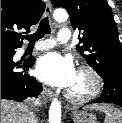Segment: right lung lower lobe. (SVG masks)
<instances>
[{
	"label": "right lung lower lobe",
	"mask_w": 122,
	"mask_h": 123,
	"mask_svg": "<svg viewBox=\"0 0 122 123\" xmlns=\"http://www.w3.org/2000/svg\"><path fill=\"white\" fill-rule=\"evenodd\" d=\"M16 47H1V99L23 101L29 97H37L42 91L39 82L17 69L32 67L34 58L27 60L23 65L12 61Z\"/></svg>",
	"instance_id": "1"
}]
</instances>
